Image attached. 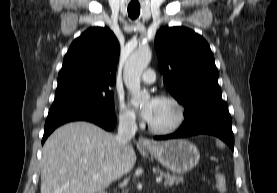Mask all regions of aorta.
<instances>
[{
	"instance_id": "obj_1",
	"label": "aorta",
	"mask_w": 277,
	"mask_h": 193,
	"mask_svg": "<svg viewBox=\"0 0 277 193\" xmlns=\"http://www.w3.org/2000/svg\"><path fill=\"white\" fill-rule=\"evenodd\" d=\"M152 52L149 47H140L130 55L125 63L123 79L125 86L132 95L131 103L134 106L143 104L149 99V93L140 89V78L151 61Z\"/></svg>"
}]
</instances>
